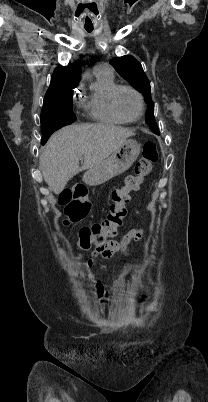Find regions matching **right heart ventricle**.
I'll list each match as a JSON object with an SVG mask.
<instances>
[{
    "label": "right heart ventricle",
    "instance_id": "right-heart-ventricle-1",
    "mask_svg": "<svg viewBox=\"0 0 208 402\" xmlns=\"http://www.w3.org/2000/svg\"><path fill=\"white\" fill-rule=\"evenodd\" d=\"M97 88L94 89L88 101V111L94 125L97 126H122L126 124L119 120L112 112L110 98L118 87L113 77L102 73H95Z\"/></svg>",
    "mask_w": 208,
    "mask_h": 402
}]
</instances>
